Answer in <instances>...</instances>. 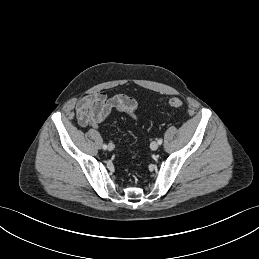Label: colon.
Here are the masks:
<instances>
[{
    "mask_svg": "<svg viewBox=\"0 0 259 259\" xmlns=\"http://www.w3.org/2000/svg\"><path fill=\"white\" fill-rule=\"evenodd\" d=\"M168 104L172 108L182 109L184 107L183 102L179 98H171L168 101Z\"/></svg>",
    "mask_w": 259,
    "mask_h": 259,
    "instance_id": "obj_1",
    "label": "colon"
}]
</instances>
